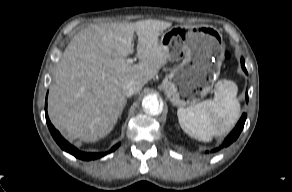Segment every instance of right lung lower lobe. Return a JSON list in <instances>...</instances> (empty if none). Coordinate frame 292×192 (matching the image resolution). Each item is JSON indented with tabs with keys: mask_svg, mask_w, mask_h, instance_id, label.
Returning a JSON list of instances; mask_svg holds the SVG:
<instances>
[{
	"mask_svg": "<svg viewBox=\"0 0 292 192\" xmlns=\"http://www.w3.org/2000/svg\"><path fill=\"white\" fill-rule=\"evenodd\" d=\"M45 116H46V122L48 125V128L57 142V144L66 152L72 154L76 158L82 159V160H94L103 157L105 154L110 153L118 148L120 144L115 145L109 152L106 153H85L77 150L75 147H73L71 144H69L61 135L60 133L53 127L51 124L48 114H47V97H46V104H45Z\"/></svg>",
	"mask_w": 292,
	"mask_h": 192,
	"instance_id": "right-lung-lower-lobe-1",
	"label": "right lung lower lobe"
}]
</instances>
